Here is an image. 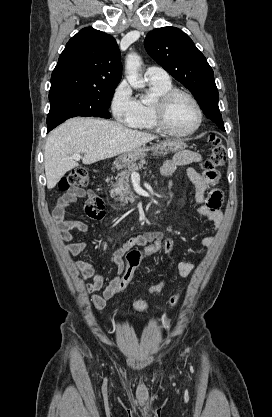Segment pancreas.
I'll return each instance as SVG.
<instances>
[{"mask_svg":"<svg viewBox=\"0 0 272 417\" xmlns=\"http://www.w3.org/2000/svg\"><path fill=\"white\" fill-rule=\"evenodd\" d=\"M143 164H147V162L141 160L139 163L130 164L118 174V179L116 183L111 185L112 189L110 191L111 196H113L116 201L123 204H127L128 202L133 203L135 201L137 197L129 185V176L138 168H141Z\"/></svg>","mask_w":272,"mask_h":417,"instance_id":"obj_1","label":"pancreas"}]
</instances>
